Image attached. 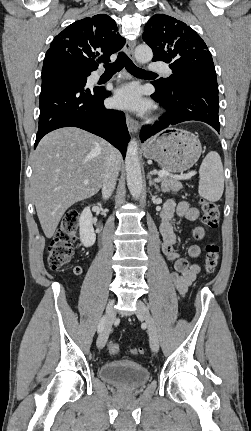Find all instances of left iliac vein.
<instances>
[{
  "mask_svg": "<svg viewBox=\"0 0 251 431\" xmlns=\"http://www.w3.org/2000/svg\"><path fill=\"white\" fill-rule=\"evenodd\" d=\"M136 306H137V309H136L137 317L143 319L146 322L149 340H150V347L154 353H157L159 350V339H158V332H157V327L154 322V319L152 318L149 312V309L144 302H142L141 300H138L136 303Z\"/></svg>",
  "mask_w": 251,
  "mask_h": 431,
  "instance_id": "left-iliac-vein-1",
  "label": "left iliac vein"
}]
</instances>
